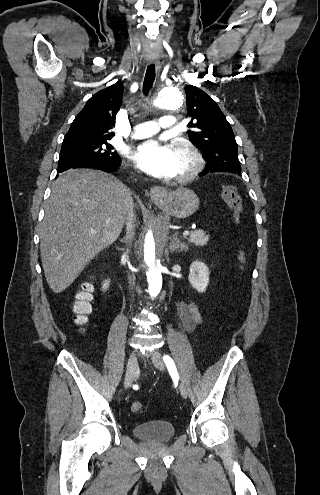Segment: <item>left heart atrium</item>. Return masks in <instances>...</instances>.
Wrapping results in <instances>:
<instances>
[{
    "label": "left heart atrium",
    "mask_w": 320,
    "mask_h": 495,
    "mask_svg": "<svg viewBox=\"0 0 320 495\" xmlns=\"http://www.w3.org/2000/svg\"><path fill=\"white\" fill-rule=\"evenodd\" d=\"M132 160L145 173L158 178H172L175 176L176 156L171 146L157 140H148L131 153Z\"/></svg>",
    "instance_id": "1"
}]
</instances>
